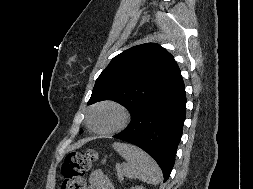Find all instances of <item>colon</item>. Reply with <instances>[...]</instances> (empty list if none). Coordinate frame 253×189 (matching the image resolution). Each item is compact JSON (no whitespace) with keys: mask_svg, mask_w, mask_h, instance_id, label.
I'll list each match as a JSON object with an SVG mask.
<instances>
[{"mask_svg":"<svg viewBox=\"0 0 253 189\" xmlns=\"http://www.w3.org/2000/svg\"><path fill=\"white\" fill-rule=\"evenodd\" d=\"M98 160V154L92 150L69 153L62 165L61 189H85V176Z\"/></svg>","mask_w":253,"mask_h":189,"instance_id":"5ec220e1","label":"colon"}]
</instances>
